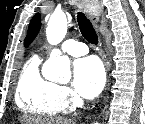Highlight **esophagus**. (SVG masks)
Here are the masks:
<instances>
[{
	"label": "esophagus",
	"instance_id": "obj_1",
	"mask_svg": "<svg viewBox=\"0 0 145 124\" xmlns=\"http://www.w3.org/2000/svg\"><path fill=\"white\" fill-rule=\"evenodd\" d=\"M91 6H92L91 8L86 7L85 10L89 16V19L93 23V25L95 27H97L99 19H100V15H101L102 10H103V6H102V4H100L99 1H93L91 3Z\"/></svg>",
	"mask_w": 145,
	"mask_h": 124
}]
</instances>
